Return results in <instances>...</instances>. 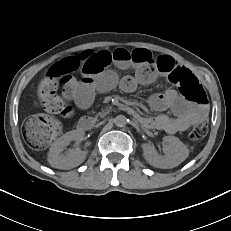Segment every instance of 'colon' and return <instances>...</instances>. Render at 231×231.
I'll list each match as a JSON object with an SVG mask.
<instances>
[{"label": "colon", "mask_w": 231, "mask_h": 231, "mask_svg": "<svg viewBox=\"0 0 231 231\" xmlns=\"http://www.w3.org/2000/svg\"><path fill=\"white\" fill-rule=\"evenodd\" d=\"M136 54L137 52L134 51L132 56L134 57ZM69 73V70L61 62H57L47 70L39 84L38 103L48 114L31 117L25 126V140L32 149L42 150L48 147L60 131V122L55 116H67L71 112V108L58 95L60 85L64 86L65 96L70 95L67 89L70 80ZM169 79L178 86L186 98L197 102H206V95L191 72L177 70L170 75ZM206 133L207 124L201 122L190 131L189 138L196 141L203 138Z\"/></svg>", "instance_id": "1"}]
</instances>
